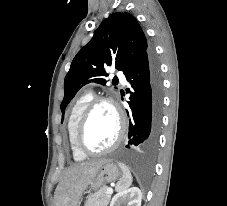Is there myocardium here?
<instances>
[{
	"label": "myocardium",
	"instance_id": "f54148a6",
	"mask_svg": "<svg viewBox=\"0 0 227 206\" xmlns=\"http://www.w3.org/2000/svg\"><path fill=\"white\" fill-rule=\"evenodd\" d=\"M100 104H108L113 108L118 120V134L116 139L110 146H108L105 149L95 151V150H91L89 147L86 146L84 142V133L92 112ZM125 131H126V121L118 103L111 97L98 96L93 98L87 104V106L85 107V109L83 110L79 118V121L75 129V136H74L75 146L81 153L85 154L86 156L103 155L111 152L112 150H114L120 145V143L122 142L125 136Z\"/></svg>",
	"mask_w": 227,
	"mask_h": 206
}]
</instances>
